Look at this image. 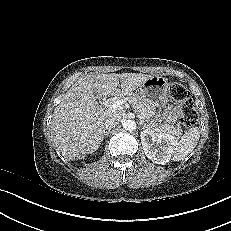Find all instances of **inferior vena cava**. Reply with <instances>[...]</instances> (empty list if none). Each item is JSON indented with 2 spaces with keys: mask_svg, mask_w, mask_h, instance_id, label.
Segmentation results:
<instances>
[{
  "mask_svg": "<svg viewBox=\"0 0 231 231\" xmlns=\"http://www.w3.org/2000/svg\"><path fill=\"white\" fill-rule=\"evenodd\" d=\"M117 123H118V118L110 115L105 119L104 127H105V129L110 130V129L114 128L117 125Z\"/></svg>",
  "mask_w": 231,
  "mask_h": 231,
  "instance_id": "inferior-vena-cava-1",
  "label": "inferior vena cava"
}]
</instances>
